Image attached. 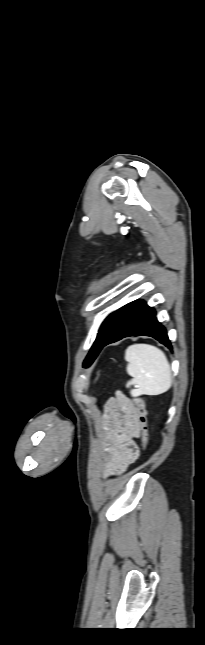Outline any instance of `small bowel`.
<instances>
[{
	"label": "small bowel",
	"instance_id": "1",
	"mask_svg": "<svg viewBox=\"0 0 205 645\" xmlns=\"http://www.w3.org/2000/svg\"><path fill=\"white\" fill-rule=\"evenodd\" d=\"M140 436L133 402L118 392L105 408L100 437L105 476L122 474L139 455L136 439Z\"/></svg>",
	"mask_w": 205,
	"mask_h": 645
}]
</instances>
